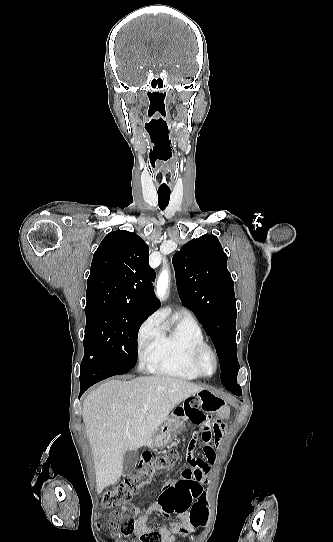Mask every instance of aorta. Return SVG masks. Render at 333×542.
Returning <instances> with one entry per match:
<instances>
[{
  "label": "aorta",
  "instance_id": "762f6f07",
  "mask_svg": "<svg viewBox=\"0 0 333 542\" xmlns=\"http://www.w3.org/2000/svg\"><path fill=\"white\" fill-rule=\"evenodd\" d=\"M167 286H168V274L167 272H162V274H160L158 278V282L156 286L157 288L156 296L157 298H159V300H161V298H164L166 294Z\"/></svg>",
  "mask_w": 333,
  "mask_h": 542
}]
</instances>
